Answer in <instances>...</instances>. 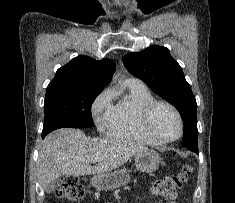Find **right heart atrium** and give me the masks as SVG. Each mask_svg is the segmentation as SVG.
I'll return each mask as SVG.
<instances>
[{"mask_svg":"<svg viewBox=\"0 0 235 203\" xmlns=\"http://www.w3.org/2000/svg\"><path fill=\"white\" fill-rule=\"evenodd\" d=\"M111 109V92L108 89H104L97 95L91 106L92 116L100 129L106 127Z\"/></svg>","mask_w":235,"mask_h":203,"instance_id":"right-heart-atrium-1","label":"right heart atrium"}]
</instances>
